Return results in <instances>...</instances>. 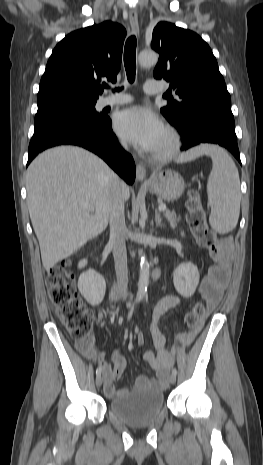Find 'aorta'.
I'll list each match as a JSON object with an SVG mask.
<instances>
[{
	"label": "aorta",
	"instance_id": "obj_1",
	"mask_svg": "<svg viewBox=\"0 0 263 465\" xmlns=\"http://www.w3.org/2000/svg\"><path fill=\"white\" fill-rule=\"evenodd\" d=\"M158 61V55L154 51H142L138 56V62L141 66L148 67L156 65ZM149 263L146 255L142 254L140 262V273L138 281V291L136 300L141 301L147 293L149 285Z\"/></svg>",
	"mask_w": 263,
	"mask_h": 465
}]
</instances>
